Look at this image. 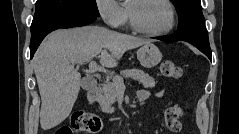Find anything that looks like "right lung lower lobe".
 <instances>
[{
	"mask_svg": "<svg viewBox=\"0 0 239 134\" xmlns=\"http://www.w3.org/2000/svg\"><path fill=\"white\" fill-rule=\"evenodd\" d=\"M96 19V16L84 13L63 12L44 20L35 28L31 29L30 59H32L44 37L51 31L59 28H71L87 25L94 22Z\"/></svg>",
	"mask_w": 239,
	"mask_h": 134,
	"instance_id": "obj_1",
	"label": "right lung lower lobe"
}]
</instances>
